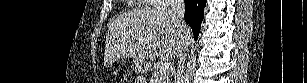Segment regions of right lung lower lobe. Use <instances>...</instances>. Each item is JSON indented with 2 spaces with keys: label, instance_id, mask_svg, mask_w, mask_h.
I'll return each instance as SVG.
<instances>
[{
  "label": "right lung lower lobe",
  "instance_id": "right-lung-lower-lobe-1",
  "mask_svg": "<svg viewBox=\"0 0 307 83\" xmlns=\"http://www.w3.org/2000/svg\"><path fill=\"white\" fill-rule=\"evenodd\" d=\"M186 11L185 21L192 28L195 40L198 38L200 25L204 17V7L206 0H184Z\"/></svg>",
  "mask_w": 307,
  "mask_h": 83
}]
</instances>
